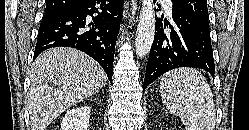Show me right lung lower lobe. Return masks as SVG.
I'll return each mask as SVG.
<instances>
[{
  "label": "right lung lower lobe",
  "mask_w": 249,
  "mask_h": 130,
  "mask_svg": "<svg viewBox=\"0 0 249 130\" xmlns=\"http://www.w3.org/2000/svg\"><path fill=\"white\" fill-rule=\"evenodd\" d=\"M121 0H83L72 10L41 21L34 58L52 47H72L94 58L110 81L122 18ZM92 17V22L87 16Z\"/></svg>",
  "instance_id": "98d812e1"
}]
</instances>
